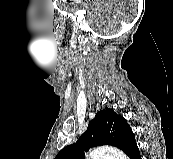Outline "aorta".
<instances>
[{"mask_svg":"<svg viewBox=\"0 0 173 159\" xmlns=\"http://www.w3.org/2000/svg\"><path fill=\"white\" fill-rule=\"evenodd\" d=\"M87 159H127V157L117 148L100 147L92 150Z\"/></svg>","mask_w":173,"mask_h":159,"instance_id":"762f6f07","label":"aorta"}]
</instances>
